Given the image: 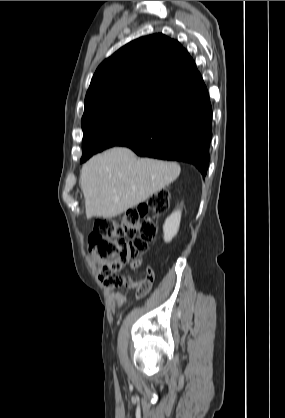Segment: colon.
Segmentation results:
<instances>
[{
    "mask_svg": "<svg viewBox=\"0 0 285 418\" xmlns=\"http://www.w3.org/2000/svg\"><path fill=\"white\" fill-rule=\"evenodd\" d=\"M169 192L160 190L146 203L127 210L118 219H98L87 239L89 254L100 262L99 280L108 286L123 284L120 275L131 260L144 254L157 236V227L150 216L163 215L169 208ZM136 283L138 296L147 288Z\"/></svg>",
    "mask_w": 285,
    "mask_h": 418,
    "instance_id": "obj_1",
    "label": "colon"
}]
</instances>
